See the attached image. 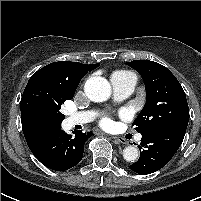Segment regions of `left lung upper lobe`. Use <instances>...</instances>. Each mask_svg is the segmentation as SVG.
I'll list each match as a JSON object with an SVG mask.
<instances>
[{
	"mask_svg": "<svg viewBox=\"0 0 201 201\" xmlns=\"http://www.w3.org/2000/svg\"><path fill=\"white\" fill-rule=\"evenodd\" d=\"M126 64L140 73L146 86V103L133 122L135 129L144 134L167 126L187 128L189 108L186 95L172 72L149 60H135Z\"/></svg>",
	"mask_w": 201,
	"mask_h": 201,
	"instance_id": "obj_1",
	"label": "left lung upper lobe"
}]
</instances>
